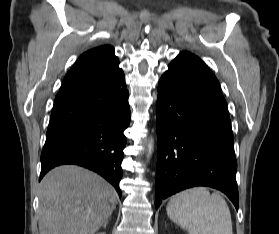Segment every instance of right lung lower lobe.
Wrapping results in <instances>:
<instances>
[{"label":"right lung lower lobe","instance_id":"1","mask_svg":"<svg viewBox=\"0 0 279 234\" xmlns=\"http://www.w3.org/2000/svg\"><path fill=\"white\" fill-rule=\"evenodd\" d=\"M129 93L119 67L107 76L58 92L41 154L40 179L63 164L80 165L121 194V163L130 123Z\"/></svg>","mask_w":279,"mask_h":234}]
</instances>
